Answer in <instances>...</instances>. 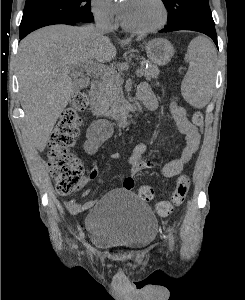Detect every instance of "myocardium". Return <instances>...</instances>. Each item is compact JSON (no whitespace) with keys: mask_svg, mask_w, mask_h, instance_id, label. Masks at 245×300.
<instances>
[{"mask_svg":"<svg viewBox=\"0 0 245 300\" xmlns=\"http://www.w3.org/2000/svg\"><path fill=\"white\" fill-rule=\"evenodd\" d=\"M156 2L159 4L161 11H162V19L157 25L148 27V28L133 27V26L128 25L124 21L122 14H121V16H120L121 26L129 32L137 33V34H148V33H153V32H156V31L162 29L168 22V10H167V7L163 0H156Z\"/></svg>","mask_w":245,"mask_h":300,"instance_id":"myocardium-1","label":"myocardium"}]
</instances>
